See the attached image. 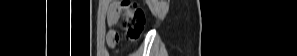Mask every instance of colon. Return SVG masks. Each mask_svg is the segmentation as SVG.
<instances>
[{
	"label": "colon",
	"mask_w": 297,
	"mask_h": 56,
	"mask_svg": "<svg viewBox=\"0 0 297 56\" xmlns=\"http://www.w3.org/2000/svg\"><path fill=\"white\" fill-rule=\"evenodd\" d=\"M117 12L121 17V28L126 37L134 41L140 37L145 26L144 11L130 0H123L116 3Z\"/></svg>",
	"instance_id": "obj_1"
}]
</instances>
